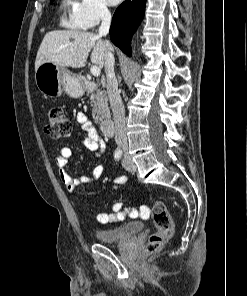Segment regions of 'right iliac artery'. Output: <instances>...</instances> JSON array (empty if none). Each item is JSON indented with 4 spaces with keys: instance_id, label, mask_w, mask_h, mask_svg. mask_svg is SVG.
<instances>
[{
    "instance_id": "1",
    "label": "right iliac artery",
    "mask_w": 247,
    "mask_h": 296,
    "mask_svg": "<svg viewBox=\"0 0 247 296\" xmlns=\"http://www.w3.org/2000/svg\"><path fill=\"white\" fill-rule=\"evenodd\" d=\"M121 156H122V153H121L120 151H116V152L114 153V158H115V160H119V159L121 158Z\"/></svg>"
}]
</instances>
